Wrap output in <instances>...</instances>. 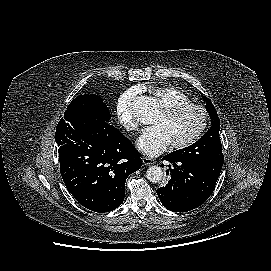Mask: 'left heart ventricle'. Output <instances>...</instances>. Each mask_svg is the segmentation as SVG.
I'll list each match as a JSON object with an SVG mask.
<instances>
[{
    "label": "left heart ventricle",
    "instance_id": "obj_1",
    "mask_svg": "<svg viewBox=\"0 0 271 271\" xmlns=\"http://www.w3.org/2000/svg\"><path fill=\"white\" fill-rule=\"evenodd\" d=\"M202 117L195 109L185 110L176 116L165 117L160 112L153 121L154 125H160L170 143L181 142L193 135L199 128Z\"/></svg>",
    "mask_w": 271,
    "mask_h": 271
}]
</instances>
